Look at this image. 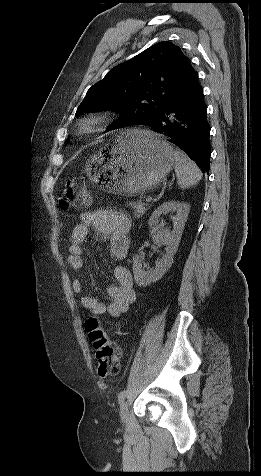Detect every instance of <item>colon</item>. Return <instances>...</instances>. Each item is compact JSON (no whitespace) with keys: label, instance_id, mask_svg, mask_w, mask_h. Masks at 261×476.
<instances>
[{"label":"colon","instance_id":"obj_1","mask_svg":"<svg viewBox=\"0 0 261 476\" xmlns=\"http://www.w3.org/2000/svg\"><path fill=\"white\" fill-rule=\"evenodd\" d=\"M59 205L62 209L86 207L91 202V196L83 178L66 182L59 195ZM85 330L95 349L97 373L101 378L114 376L120 367V350L101 327L99 319L90 315L85 320Z\"/></svg>","mask_w":261,"mask_h":476}]
</instances>
